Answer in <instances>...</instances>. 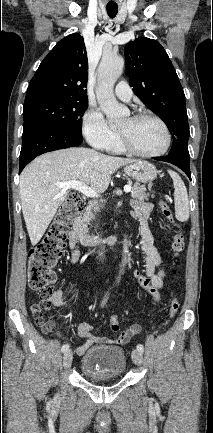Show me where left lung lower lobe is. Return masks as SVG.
<instances>
[{
    "label": "left lung lower lobe",
    "instance_id": "1",
    "mask_svg": "<svg viewBox=\"0 0 213 433\" xmlns=\"http://www.w3.org/2000/svg\"><path fill=\"white\" fill-rule=\"evenodd\" d=\"M153 159H156L159 161L169 162L171 164L176 165L181 170H183L186 173V175L189 177V179L191 180V173H190V168H189V165H190L189 159H185V158H182L180 156H175V155H167L164 157H154Z\"/></svg>",
    "mask_w": 213,
    "mask_h": 433
}]
</instances>
